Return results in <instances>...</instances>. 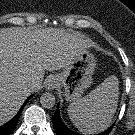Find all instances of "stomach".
Listing matches in <instances>:
<instances>
[{"instance_id": "0dacf381", "label": "stomach", "mask_w": 135, "mask_h": 135, "mask_svg": "<svg viewBox=\"0 0 135 135\" xmlns=\"http://www.w3.org/2000/svg\"><path fill=\"white\" fill-rule=\"evenodd\" d=\"M96 62L95 56L88 50H84L63 68L61 73L56 74L55 77L63 88L67 101H77L91 85Z\"/></svg>"}]
</instances>
